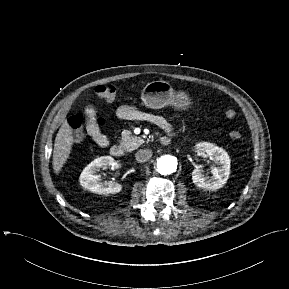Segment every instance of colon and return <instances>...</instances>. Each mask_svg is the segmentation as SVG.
<instances>
[{
  "instance_id": "5ec220e1",
  "label": "colon",
  "mask_w": 289,
  "mask_h": 289,
  "mask_svg": "<svg viewBox=\"0 0 289 289\" xmlns=\"http://www.w3.org/2000/svg\"><path fill=\"white\" fill-rule=\"evenodd\" d=\"M95 91L98 97L110 101L113 100L116 96L117 86L113 83L102 84L97 86ZM225 116L229 119H233L236 116V111L232 108H229L225 111ZM87 122V118L80 114L71 116L68 119V124L74 131L75 141H81L83 139V129L85 125L87 126ZM96 122L100 126L103 123V120L97 118ZM230 137L233 140H239L241 139L242 135L239 131L234 130L230 132Z\"/></svg>"
}]
</instances>
